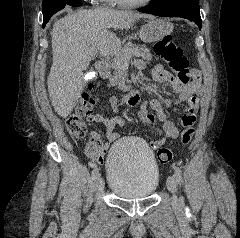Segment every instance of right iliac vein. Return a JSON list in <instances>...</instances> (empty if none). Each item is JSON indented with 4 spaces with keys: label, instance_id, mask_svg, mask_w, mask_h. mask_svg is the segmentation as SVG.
Wrapping results in <instances>:
<instances>
[{
    "label": "right iliac vein",
    "instance_id": "right-iliac-vein-1",
    "mask_svg": "<svg viewBox=\"0 0 240 238\" xmlns=\"http://www.w3.org/2000/svg\"><path fill=\"white\" fill-rule=\"evenodd\" d=\"M104 187H105V183H104L103 178L98 177L97 180H96V188H97V190L99 192H101V191L104 190Z\"/></svg>",
    "mask_w": 240,
    "mask_h": 238
}]
</instances>
